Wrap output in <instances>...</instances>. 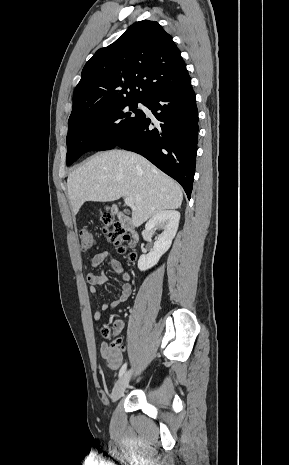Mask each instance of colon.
Returning <instances> with one entry per match:
<instances>
[{
    "label": "colon",
    "instance_id": "5ec220e1",
    "mask_svg": "<svg viewBox=\"0 0 289 465\" xmlns=\"http://www.w3.org/2000/svg\"><path fill=\"white\" fill-rule=\"evenodd\" d=\"M102 222L104 225V232L106 233L108 239L118 248L122 253L128 252V257L130 259L134 258V253L131 250L132 241L129 235L126 233L125 229L117 222H115L110 214H105L102 217ZM80 247L84 251L92 250L96 247V240L89 228H82L79 231ZM102 333L105 337L109 338L114 333V329L110 326H105L102 329ZM120 341L116 340L111 346L115 352H119Z\"/></svg>",
    "mask_w": 289,
    "mask_h": 465
}]
</instances>
